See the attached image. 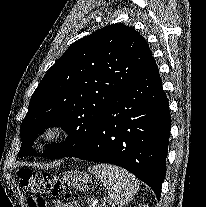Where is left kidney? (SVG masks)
<instances>
[{"instance_id": "obj_1", "label": "left kidney", "mask_w": 206, "mask_h": 207, "mask_svg": "<svg viewBox=\"0 0 206 207\" xmlns=\"http://www.w3.org/2000/svg\"><path fill=\"white\" fill-rule=\"evenodd\" d=\"M138 207H146V205H139Z\"/></svg>"}]
</instances>
